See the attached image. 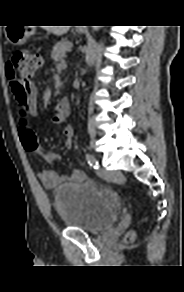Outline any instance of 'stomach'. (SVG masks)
I'll return each instance as SVG.
<instances>
[{"label": "stomach", "mask_w": 184, "mask_h": 292, "mask_svg": "<svg viewBox=\"0 0 184 292\" xmlns=\"http://www.w3.org/2000/svg\"><path fill=\"white\" fill-rule=\"evenodd\" d=\"M35 32L34 27L20 26L8 27L7 39L13 45H23L27 39Z\"/></svg>", "instance_id": "stomach-1"}]
</instances>
